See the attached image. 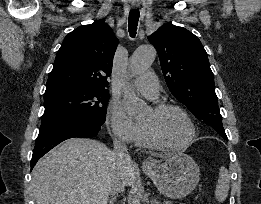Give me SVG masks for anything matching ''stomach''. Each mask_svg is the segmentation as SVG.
Listing matches in <instances>:
<instances>
[{"mask_svg": "<svg viewBox=\"0 0 261 204\" xmlns=\"http://www.w3.org/2000/svg\"><path fill=\"white\" fill-rule=\"evenodd\" d=\"M157 189L166 197L178 199L191 193L197 186L200 170L195 161L184 153L169 156L163 163L143 166Z\"/></svg>", "mask_w": 261, "mask_h": 204, "instance_id": "obj_1", "label": "stomach"}]
</instances>
